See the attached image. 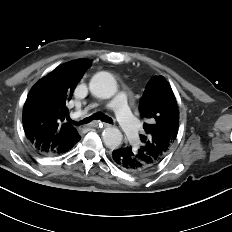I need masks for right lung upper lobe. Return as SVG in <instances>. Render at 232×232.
Instances as JSON below:
<instances>
[{"instance_id":"obj_1","label":"right lung upper lobe","mask_w":232,"mask_h":232,"mask_svg":"<svg viewBox=\"0 0 232 232\" xmlns=\"http://www.w3.org/2000/svg\"><path fill=\"white\" fill-rule=\"evenodd\" d=\"M92 60L78 59L60 65L30 90L23 107V128L32 146L41 154L67 152L80 139L66 104Z\"/></svg>"}]
</instances>
